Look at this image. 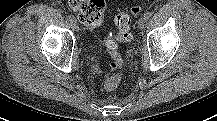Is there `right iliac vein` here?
Masks as SVG:
<instances>
[{
  "mask_svg": "<svg viewBox=\"0 0 217 121\" xmlns=\"http://www.w3.org/2000/svg\"><path fill=\"white\" fill-rule=\"evenodd\" d=\"M71 24H72V27L75 31L79 30V26H78V23L76 20L72 21Z\"/></svg>",
  "mask_w": 217,
  "mask_h": 121,
  "instance_id": "63e3f726",
  "label": "right iliac vein"
}]
</instances>
